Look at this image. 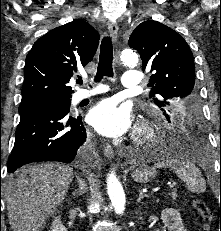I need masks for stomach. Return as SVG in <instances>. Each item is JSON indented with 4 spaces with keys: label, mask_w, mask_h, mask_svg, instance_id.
Here are the masks:
<instances>
[{
    "label": "stomach",
    "mask_w": 221,
    "mask_h": 231,
    "mask_svg": "<svg viewBox=\"0 0 221 231\" xmlns=\"http://www.w3.org/2000/svg\"><path fill=\"white\" fill-rule=\"evenodd\" d=\"M155 176V171L146 167L138 168L132 174L134 181L140 184H145L152 181L155 178Z\"/></svg>",
    "instance_id": "0dacf381"
}]
</instances>
